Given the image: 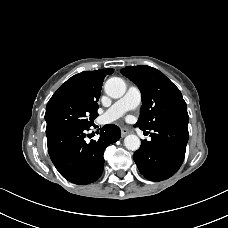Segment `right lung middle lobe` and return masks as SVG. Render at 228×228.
Segmentation results:
<instances>
[{
	"label": "right lung middle lobe",
	"instance_id": "1",
	"mask_svg": "<svg viewBox=\"0 0 228 228\" xmlns=\"http://www.w3.org/2000/svg\"><path fill=\"white\" fill-rule=\"evenodd\" d=\"M97 109V102L80 97L70 87L61 86L46 106V135L71 127H90L98 116Z\"/></svg>",
	"mask_w": 228,
	"mask_h": 228
}]
</instances>
